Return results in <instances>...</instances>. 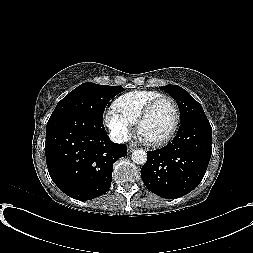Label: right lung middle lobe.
<instances>
[{"instance_id":"1","label":"right lung middle lobe","mask_w":253,"mask_h":253,"mask_svg":"<svg viewBox=\"0 0 253 253\" xmlns=\"http://www.w3.org/2000/svg\"><path fill=\"white\" fill-rule=\"evenodd\" d=\"M122 91L120 86L83 83L58 102L51 116L72 112L102 121L107 103Z\"/></svg>"}]
</instances>
